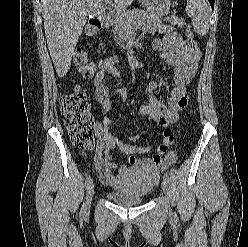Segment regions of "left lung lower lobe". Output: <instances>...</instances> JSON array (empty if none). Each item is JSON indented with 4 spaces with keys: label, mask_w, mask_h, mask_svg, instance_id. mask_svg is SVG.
<instances>
[{
    "label": "left lung lower lobe",
    "mask_w": 248,
    "mask_h": 247,
    "mask_svg": "<svg viewBox=\"0 0 248 247\" xmlns=\"http://www.w3.org/2000/svg\"><path fill=\"white\" fill-rule=\"evenodd\" d=\"M209 2H210V5H211V7H212V9H213V7H214V1L215 0H208Z\"/></svg>",
    "instance_id": "left-lung-lower-lobe-1"
}]
</instances>
